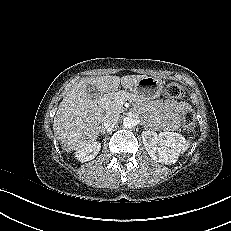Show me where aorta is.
<instances>
[{"label": "aorta", "mask_w": 231, "mask_h": 231, "mask_svg": "<svg viewBox=\"0 0 231 231\" xmlns=\"http://www.w3.org/2000/svg\"><path fill=\"white\" fill-rule=\"evenodd\" d=\"M135 125V120L131 117H125L123 119V126L125 128H132Z\"/></svg>", "instance_id": "obj_1"}]
</instances>
